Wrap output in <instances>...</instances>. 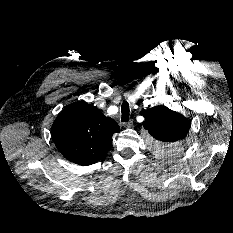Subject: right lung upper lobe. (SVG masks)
Returning a JSON list of instances; mask_svg holds the SVG:
<instances>
[{
	"mask_svg": "<svg viewBox=\"0 0 233 233\" xmlns=\"http://www.w3.org/2000/svg\"><path fill=\"white\" fill-rule=\"evenodd\" d=\"M116 132L117 122L85 102L67 106L52 125L56 147L67 160L78 165H91L105 157Z\"/></svg>",
	"mask_w": 233,
	"mask_h": 233,
	"instance_id": "right-lung-upper-lobe-1",
	"label": "right lung upper lobe"
}]
</instances>
